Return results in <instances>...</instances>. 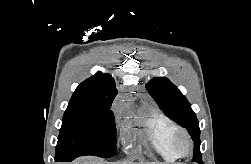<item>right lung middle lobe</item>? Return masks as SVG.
<instances>
[{"label": "right lung middle lobe", "instance_id": "obj_1", "mask_svg": "<svg viewBox=\"0 0 251 164\" xmlns=\"http://www.w3.org/2000/svg\"><path fill=\"white\" fill-rule=\"evenodd\" d=\"M111 105L70 101L62 120L55 158L94 155L110 158L116 151Z\"/></svg>", "mask_w": 251, "mask_h": 164}]
</instances>
